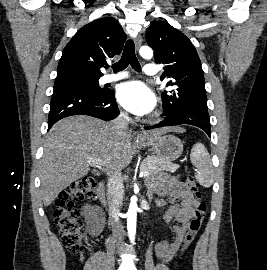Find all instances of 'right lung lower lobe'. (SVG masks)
I'll use <instances>...</instances> for the list:
<instances>
[{
  "label": "right lung lower lobe",
  "instance_id": "obj_1",
  "mask_svg": "<svg viewBox=\"0 0 267 270\" xmlns=\"http://www.w3.org/2000/svg\"><path fill=\"white\" fill-rule=\"evenodd\" d=\"M72 115H89L110 121L119 115L114 91L95 93L80 90H54L48 117V130L60 119Z\"/></svg>",
  "mask_w": 267,
  "mask_h": 270
}]
</instances>
